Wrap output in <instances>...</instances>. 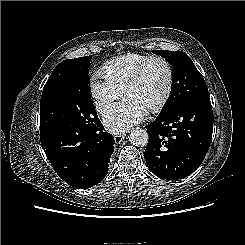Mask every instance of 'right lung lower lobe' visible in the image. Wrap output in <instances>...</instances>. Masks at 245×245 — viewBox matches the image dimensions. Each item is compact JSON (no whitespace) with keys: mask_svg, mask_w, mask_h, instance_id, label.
<instances>
[{"mask_svg":"<svg viewBox=\"0 0 245 245\" xmlns=\"http://www.w3.org/2000/svg\"><path fill=\"white\" fill-rule=\"evenodd\" d=\"M40 140L53 169L69 185L87 189L107 175L115 140L99 118L90 127L40 125Z\"/></svg>","mask_w":245,"mask_h":245,"instance_id":"1","label":"right lung lower lobe"}]
</instances>
